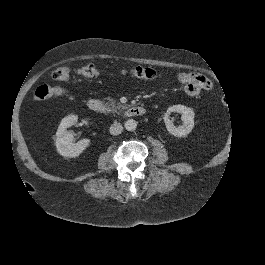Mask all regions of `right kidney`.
Segmentation results:
<instances>
[{
    "instance_id": "ca27d5eb",
    "label": "right kidney",
    "mask_w": 265,
    "mask_h": 265,
    "mask_svg": "<svg viewBox=\"0 0 265 265\" xmlns=\"http://www.w3.org/2000/svg\"><path fill=\"white\" fill-rule=\"evenodd\" d=\"M77 122L78 118L76 116L69 115L62 120L58 127L56 147L59 154L63 157H79L90 144V139H82L77 143L73 142V135L70 133L69 128L77 124Z\"/></svg>"
}]
</instances>
